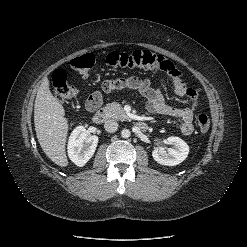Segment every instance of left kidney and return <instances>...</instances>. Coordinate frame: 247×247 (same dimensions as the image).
Here are the masks:
<instances>
[{
    "label": "left kidney",
    "instance_id": "1",
    "mask_svg": "<svg viewBox=\"0 0 247 247\" xmlns=\"http://www.w3.org/2000/svg\"><path fill=\"white\" fill-rule=\"evenodd\" d=\"M166 143L172 148L167 151L164 148H156L152 152L154 160L166 166H175L183 162L189 154V146L179 137L170 136L166 139Z\"/></svg>",
    "mask_w": 247,
    "mask_h": 247
}]
</instances>
